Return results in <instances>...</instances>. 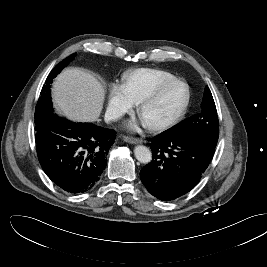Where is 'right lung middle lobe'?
<instances>
[{
  "mask_svg": "<svg viewBox=\"0 0 267 267\" xmlns=\"http://www.w3.org/2000/svg\"><path fill=\"white\" fill-rule=\"evenodd\" d=\"M76 53L67 57L64 61L60 62L55 68L50 72L48 75L46 82L42 88L40 93V98L38 100L36 111H35V124L37 125L42 120L46 118L47 115L53 112L52 110V102H51V95H50V87L53 79L61 72V70L68 65L70 61L74 59Z\"/></svg>",
  "mask_w": 267,
  "mask_h": 267,
  "instance_id": "right-lung-middle-lobe-1",
  "label": "right lung middle lobe"
}]
</instances>
